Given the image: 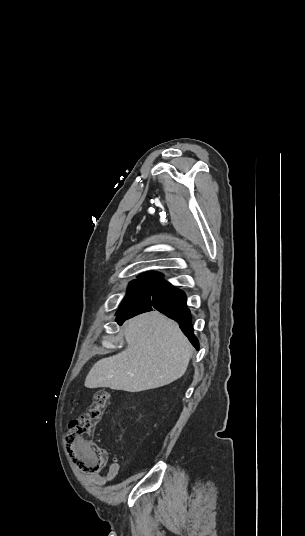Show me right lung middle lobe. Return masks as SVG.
I'll use <instances>...</instances> for the list:
<instances>
[{
    "instance_id": "right-lung-middle-lobe-1",
    "label": "right lung middle lobe",
    "mask_w": 305,
    "mask_h": 536,
    "mask_svg": "<svg viewBox=\"0 0 305 536\" xmlns=\"http://www.w3.org/2000/svg\"><path fill=\"white\" fill-rule=\"evenodd\" d=\"M163 280L161 278H139L129 284L128 291L123 299L117 312H122L135 303L138 299L149 293L153 288L159 285Z\"/></svg>"
}]
</instances>
